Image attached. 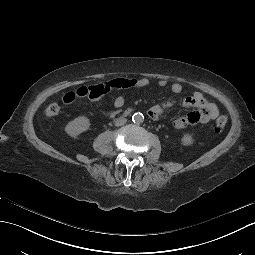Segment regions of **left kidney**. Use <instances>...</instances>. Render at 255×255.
<instances>
[{
	"instance_id": "1",
	"label": "left kidney",
	"mask_w": 255,
	"mask_h": 255,
	"mask_svg": "<svg viewBox=\"0 0 255 255\" xmlns=\"http://www.w3.org/2000/svg\"><path fill=\"white\" fill-rule=\"evenodd\" d=\"M192 142H193L192 137L188 134L184 135V137L182 138L183 145H191Z\"/></svg>"
}]
</instances>
